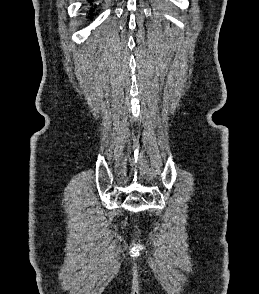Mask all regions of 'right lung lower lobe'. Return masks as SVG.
<instances>
[{"label": "right lung lower lobe", "instance_id": "obj_1", "mask_svg": "<svg viewBox=\"0 0 259 294\" xmlns=\"http://www.w3.org/2000/svg\"><path fill=\"white\" fill-rule=\"evenodd\" d=\"M92 1H93V0H89L90 4H92ZM91 13H92V10H91Z\"/></svg>", "mask_w": 259, "mask_h": 294}]
</instances>
